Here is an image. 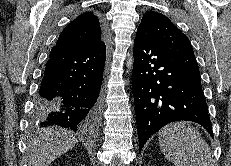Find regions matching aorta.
Masks as SVG:
<instances>
[{
	"label": "aorta",
	"mask_w": 231,
	"mask_h": 166,
	"mask_svg": "<svg viewBox=\"0 0 231 166\" xmlns=\"http://www.w3.org/2000/svg\"><path fill=\"white\" fill-rule=\"evenodd\" d=\"M132 64H133V59L132 57H130L129 60L127 61V67L131 68Z\"/></svg>",
	"instance_id": "762f6f07"
}]
</instances>
